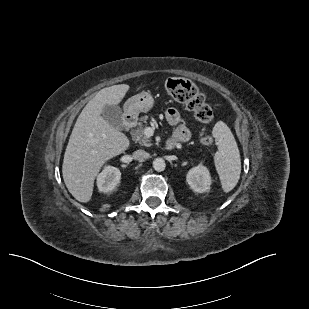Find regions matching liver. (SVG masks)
<instances>
[{
    "mask_svg": "<svg viewBox=\"0 0 309 309\" xmlns=\"http://www.w3.org/2000/svg\"><path fill=\"white\" fill-rule=\"evenodd\" d=\"M120 84L100 90L80 113L64 154L62 174L65 185L79 202L90 201L94 180L105 162L128 149L125 134L102 116L106 105H118L129 90Z\"/></svg>",
    "mask_w": 309,
    "mask_h": 309,
    "instance_id": "liver-1",
    "label": "liver"
}]
</instances>
